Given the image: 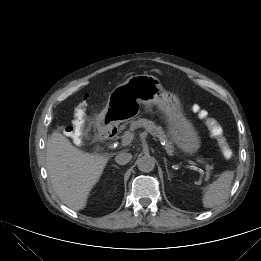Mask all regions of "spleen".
I'll list each match as a JSON object with an SVG mask.
<instances>
[{"label": "spleen", "instance_id": "spleen-1", "mask_svg": "<svg viewBox=\"0 0 261 261\" xmlns=\"http://www.w3.org/2000/svg\"><path fill=\"white\" fill-rule=\"evenodd\" d=\"M233 177V171H225L216 181L208 185L203 192V206L213 208L223 203L228 197Z\"/></svg>", "mask_w": 261, "mask_h": 261}]
</instances>
